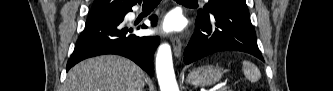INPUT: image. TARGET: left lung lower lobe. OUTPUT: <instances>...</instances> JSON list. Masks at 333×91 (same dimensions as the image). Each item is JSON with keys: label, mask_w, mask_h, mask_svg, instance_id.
<instances>
[{"label": "left lung lower lobe", "mask_w": 333, "mask_h": 91, "mask_svg": "<svg viewBox=\"0 0 333 91\" xmlns=\"http://www.w3.org/2000/svg\"><path fill=\"white\" fill-rule=\"evenodd\" d=\"M219 51H243L263 60L246 2L219 3L199 14L184 62L190 64Z\"/></svg>", "instance_id": "obj_1"}]
</instances>
